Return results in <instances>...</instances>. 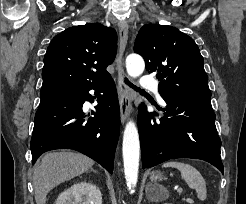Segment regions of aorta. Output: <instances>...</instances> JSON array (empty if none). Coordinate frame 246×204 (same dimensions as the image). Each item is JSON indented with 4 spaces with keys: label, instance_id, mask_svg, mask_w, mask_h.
<instances>
[{
    "label": "aorta",
    "instance_id": "obj_1",
    "mask_svg": "<svg viewBox=\"0 0 246 204\" xmlns=\"http://www.w3.org/2000/svg\"><path fill=\"white\" fill-rule=\"evenodd\" d=\"M144 69L145 63L140 55L130 54L126 58V70L130 77H139ZM122 151L127 187L133 193L138 179L140 154L139 134L133 121H129L125 126Z\"/></svg>",
    "mask_w": 246,
    "mask_h": 204
}]
</instances>
